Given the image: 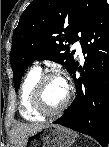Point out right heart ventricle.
Listing matches in <instances>:
<instances>
[{
    "instance_id": "right-heart-ventricle-1",
    "label": "right heart ventricle",
    "mask_w": 109,
    "mask_h": 147,
    "mask_svg": "<svg viewBox=\"0 0 109 147\" xmlns=\"http://www.w3.org/2000/svg\"><path fill=\"white\" fill-rule=\"evenodd\" d=\"M41 76V70L39 69H31L27 75L25 76L19 94V110L21 116L27 121L38 122L43 116L35 113L29 105V98L32 92V89Z\"/></svg>"
}]
</instances>
